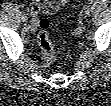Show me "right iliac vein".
I'll use <instances>...</instances> for the list:
<instances>
[{
  "label": "right iliac vein",
  "instance_id": "63e3f726",
  "mask_svg": "<svg viewBox=\"0 0 111 106\" xmlns=\"http://www.w3.org/2000/svg\"><path fill=\"white\" fill-rule=\"evenodd\" d=\"M21 20L26 23L28 21V17H21Z\"/></svg>",
  "mask_w": 111,
  "mask_h": 106
}]
</instances>
